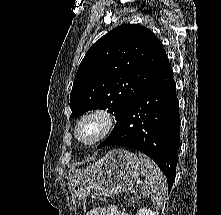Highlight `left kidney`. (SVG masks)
<instances>
[{"instance_id": "left-kidney-1", "label": "left kidney", "mask_w": 221, "mask_h": 215, "mask_svg": "<svg viewBox=\"0 0 221 215\" xmlns=\"http://www.w3.org/2000/svg\"><path fill=\"white\" fill-rule=\"evenodd\" d=\"M136 215H159V214L158 212L143 207L138 210Z\"/></svg>"}]
</instances>
